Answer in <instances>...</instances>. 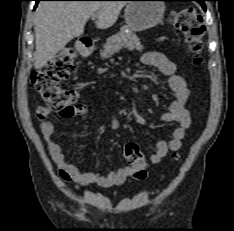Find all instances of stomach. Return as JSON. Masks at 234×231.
<instances>
[{
	"label": "stomach",
	"instance_id": "0dacf381",
	"mask_svg": "<svg viewBox=\"0 0 234 231\" xmlns=\"http://www.w3.org/2000/svg\"><path fill=\"white\" fill-rule=\"evenodd\" d=\"M164 11L165 4L159 0H133L125 7V22L132 31H145L162 21Z\"/></svg>",
	"mask_w": 234,
	"mask_h": 231
}]
</instances>
